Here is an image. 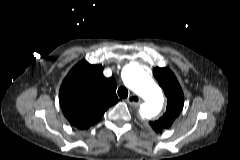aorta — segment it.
Returning a JSON list of instances; mask_svg holds the SVG:
<instances>
[{
  "instance_id": "1",
  "label": "aorta",
  "mask_w": 240,
  "mask_h": 160,
  "mask_svg": "<svg viewBox=\"0 0 240 160\" xmlns=\"http://www.w3.org/2000/svg\"><path fill=\"white\" fill-rule=\"evenodd\" d=\"M122 79L141 97L140 115L143 118L151 119L160 113L164 103L163 93L147 72L136 64H129L122 70Z\"/></svg>"
}]
</instances>
